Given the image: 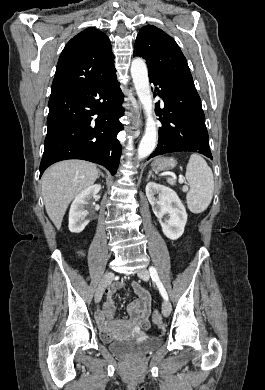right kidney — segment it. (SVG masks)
Listing matches in <instances>:
<instances>
[{"label": "right kidney", "mask_w": 265, "mask_h": 390, "mask_svg": "<svg viewBox=\"0 0 265 390\" xmlns=\"http://www.w3.org/2000/svg\"><path fill=\"white\" fill-rule=\"evenodd\" d=\"M100 190L101 185H92L79 193L72 202L69 211V230L72 233H80L88 225L89 220L86 219L88 211L85 210V206L91 197L97 196Z\"/></svg>", "instance_id": "ca27d5eb"}]
</instances>
